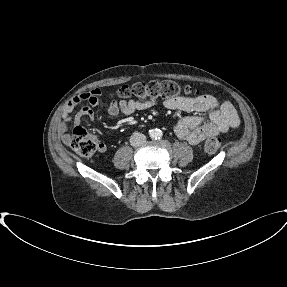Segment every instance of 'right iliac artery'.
<instances>
[{"instance_id": "82829eb1", "label": "right iliac artery", "mask_w": 287, "mask_h": 287, "mask_svg": "<svg viewBox=\"0 0 287 287\" xmlns=\"http://www.w3.org/2000/svg\"><path fill=\"white\" fill-rule=\"evenodd\" d=\"M151 136L153 135V131H150Z\"/></svg>"}]
</instances>
